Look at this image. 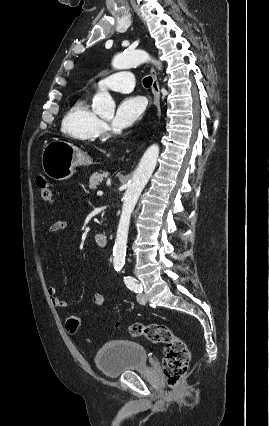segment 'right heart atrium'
I'll use <instances>...</instances> for the list:
<instances>
[{
    "instance_id": "obj_1",
    "label": "right heart atrium",
    "mask_w": 269,
    "mask_h": 426,
    "mask_svg": "<svg viewBox=\"0 0 269 426\" xmlns=\"http://www.w3.org/2000/svg\"><path fill=\"white\" fill-rule=\"evenodd\" d=\"M109 132V127L105 122H100V126H99V135L101 136H105L107 135Z\"/></svg>"
}]
</instances>
